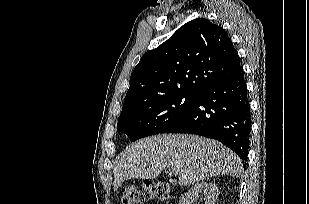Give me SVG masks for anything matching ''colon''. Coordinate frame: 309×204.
Instances as JSON below:
<instances>
[{"label": "colon", "mask_w": 309, "mask_h": 204, "mask_svg": "<svg viewBox=\"0 0 309 204\" xmlns=\"http://www.w3.org/2000/svg\"><path fill=\"white\" fill-rule=\"evenodd\" d=\"M170 193L171 187L167 182H145L141 187H125L122 191V204H140L153 198L166 200Z\"/></svg>", "instance_id": "5ec220e1"}]
</instances>
